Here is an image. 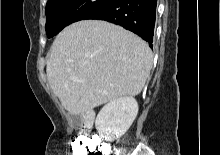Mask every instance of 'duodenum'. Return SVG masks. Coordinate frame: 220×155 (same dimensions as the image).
<instances>
[{"label":"duodenum","instance_id":"410a0bca","mask_svg":"<svg viewBox=\"0 0 220 155\" xmlns=\"http://www.w3.org/2000/svg\"><path fill=\"white\" fill-rule=\"evenodd\" d=\"M93 118H94L93 113L90 111L83 114L82 127L84 130H89L92 127Z\"/></svg>","mask_w":220,"mask_h":155}]
</instances>
